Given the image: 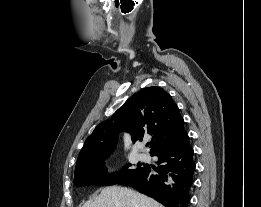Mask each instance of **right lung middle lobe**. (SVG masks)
I'll use <instances>...</instances> for the list:
<instances>
[{
    "label": "right lung middle lobe",
    "instance_id": "right-lung-middle-lobe-1",
    "mask_svg": "<svg viewBox=\"0 0 261 207\" xmlns=\"http://www.w3.org/2000/svg\"><path fill=\"white\" fill-rule=\"evenodd\" d=\"M106 158H98L75 168L74 184L77 186H89L91 184L114 185L138 172L143 166L138 164L136 169H127L132 166V164H127L123 171L116 174H108L103 162Z\"/></svg>",
    "mask_w": 261,
    "mask_h": 207
}]
</instances>
